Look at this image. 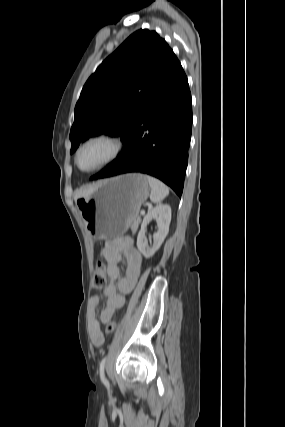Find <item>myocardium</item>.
I'll return each instance as SVG.
<instances>
[{
  "label": "myocardium",
  "mask_w": 285,
  "mask_h": 427,
  "mask_svg": "<svg viewBox=\"0 0 285 427\" xmlns=\"http://www.w3.org/2000/svg\"><path fill=\"white\" fill-rule=\"evenodd\" d=\"M97 141H104L109 143L112 146V151L110 155L99 165L90 169H82L79 163L81 152L84 150L85 147ZM122 150H123V141L121 140L120 137L108 132L99 133L89 137L79 146L75 155V164L77 168L83 173L98 172L108 167L109 165H111L120 156Z\"/></svg>",
  "instance_id": "f54148a6"
}]
</instances>
